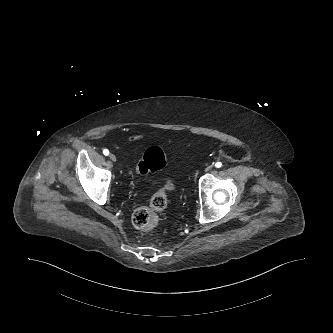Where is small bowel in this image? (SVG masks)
<instances>
[{
  "label": "small bowel",
  "instance_id": "small-bowel-1",
  "mask_svg": "<svg viewBox=\"0 0 333 333\" xmlns=\"http://www.w3.org/2000/svg\"><path fill=\"white\" fill-rule=\"evenodd\" d=\"M143 139V137L142 136H132V137H130V140H134V141H138V140H142Z\"/></svg>",
  "mask_w": 333,
  "mask_h": 333
}]
</instances>
